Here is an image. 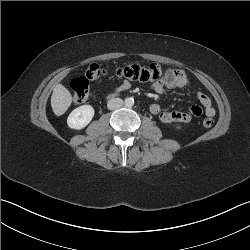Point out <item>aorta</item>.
Masks as SVG:
<instances>
[{
    "mask_svg": "<svg viewBox=\"0 0 250 250\" xmlns=\"http://www.w3.org/2000/svg\"><path fill=\"white\" fill-rule=\"evenodd\" d=\"M134 105V99L132 97H127L125 99V106L131 108Z\"/></svg>",
    "mask_w": 250,
    "mask_h": 250,
    "instance_id": "1",
    "label": "aorta"
}]
</instances>
